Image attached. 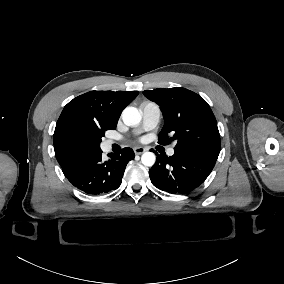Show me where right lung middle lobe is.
Here are the masks:
<instances>
[{
	"mask_svg": "<svg viewBox=\"0 0 284 284\" xmlns=\"http://www.w3.org/2000/svg\"><path fill=\"white\" fill-rule=\"evenodd\" d=\"M82 135H89L87 132H81ZM104 136V133H98V135L95 136V140L98 143V145L100 144V142L102 141L101 138Z\"/></svg>",
	"mask_w": 284,
	"mask_h": 284,
	"instance_id": "dd1d6c3e",
	"label": "right lung middle lobe"
}]
</instances>
